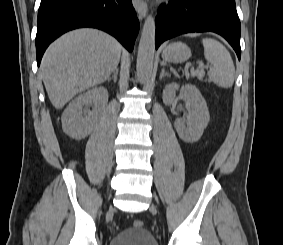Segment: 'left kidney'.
<instances>
[{"label": "left kidney", "instance_id": "1", "mask_svg": "<svg viewBox=\"0 0 283 245\" xmlns=\"http://www.w3.org/2000/svg\"><path fill=\"white\" fill-rule=\"evenodd\" d=\"M179 87L176 83L166 85L163 90V99L166 103H171L174 100ZM181 90L186 98V108L189 110L190 116L187 120L177 118L175 128L183 141L193 143L201 138L210 115L205 99L195 86L187 84Z\"/></svg>", "mask_w": 283, "mask_h": 245}]
</instances>
